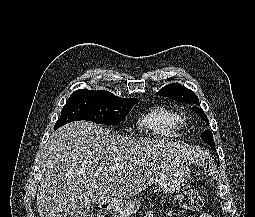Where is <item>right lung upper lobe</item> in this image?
I'll use <instances>...</instances> for the list:
<instances>
[{
	"label": "right lung upper lobe",
	"mask_w": 255,
	"mask_h": 217,
	"mask_svg": "<svg viewBox=\"0 0 255 217\" xmlns=\"http://www.w3.org/2000/svg\"><path fill=\"white\" fill-rule=\"evenodd\" d=\"M79 91H89V90H86V89H80V90H77V91H75V92H79ZM89 92H104V93H110V92H108V91H105V90H99V91H89Z\"/></svg>",
	"instance_id": "1"
}]
</instances>
